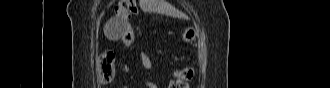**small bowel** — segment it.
Masks as SVG:
<instances>
[{
  "label": "small bowel",
  "instance_id": "c3829d8e",
  "mask_svg": "<svg viewBox=\"0 0 330 88\" xmlns=\"http://www.w3.org/2000/svg\"><path fill=\"white\" fill-rule=\"evenodd\" d=\"M138 59H139V62L141 64V66L149 73L153 70V63L150 59V57L144 53L143 51H139L138 53ZM147 85L149 87H152V84L151 82H149L148 80L146 81Z\"/></svg>",
  "mask_w": 330,
  "mask_h": 88
}]
</instances>
